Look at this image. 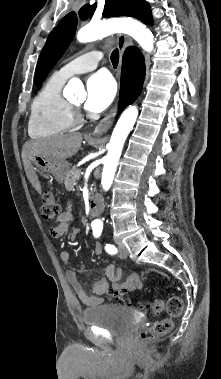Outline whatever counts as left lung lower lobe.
Here are the masks:
<instances>
[{"label": "left lung lower lobe", "instance_id": "left-lung-lower-lobe-1", "mask_svg": "<svg viewBox=\"0 0 221 379\" xmlns=\"http://www.w3.org/2000/svg\"><path fill=\"white\" fill-rule=\"evenodd\" d=\"M142 22L146 24H152L151 10L150 8L143 14L140 19Z\"/></svg>", "mask_w": 221, "mask_h": 379}]
</instances>
